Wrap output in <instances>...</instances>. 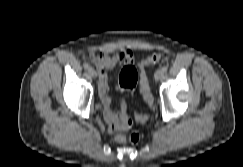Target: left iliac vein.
I'll return each mask as SVG.
<instances>
[{"mask_svg":"<svg viewBox=\"0 0 243 167\" xmlns=\"http://www.w3.org/2000/svg\"><path fill=\"white\" fill-rule=\"evenodd\" d=\"M155 80L156 81H159L161 80L163 77H164V72L162 71V69H158L156 72H155Z\"/></svg>","mask_w":243,"mask_h":167,"instance_id":"left-iliac-vein-1","label":"left iliac vein"}]
</instances>
